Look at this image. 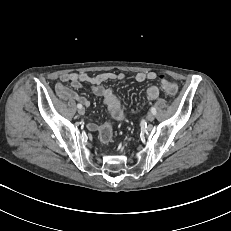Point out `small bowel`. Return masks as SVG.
Here are the masks:
<instances>
[{"label": "small bowel", "mask_w": 231, "mask_h": 231, "mask_svg": "<svg viewBox=\"0 0 231 231\" xmlns=\"http://www.w3.org/2000/svg\"><path fill=\"white\" fill-rule=\"evenodd\" d=\"M157 75L154 72H139L135 75V80L139 83L146 80H155ZM125 78L123 73L116 72H105L98 74L96 76H89L84 72L78 73H67L63 74L55 84V89L57 95L66 100H76L85 106H89V100L81 95H78L72 88L79 89L82 88L84 83H89L91 86V91L100 96L103 103L108 108L113 119L117 121H123L125 119V114L121 105L119 98L114 94V92L104 87L103 83L107 81H121ZM69 84V87L66 86ZM163 88V85H162ZM147 98L154 100L159 96V88L156 85H150L146 91ZM87 128L91 131H96L99 126L94 123H88Z\"/></svg>", "instance_id": "1"}]
</instances>
